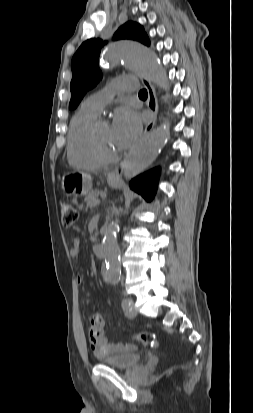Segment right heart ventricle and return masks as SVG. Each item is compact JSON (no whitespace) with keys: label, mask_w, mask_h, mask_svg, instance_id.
<instances>
[{"label":"right heart ventricle","mask_w":253,"mask_h":413,"mask_svg":"<svg viewBox=\"0 0 253 413\" xmlns=\"http://www.w3.org/2000/svg\"><path fill=\"white\" fill-rule=\"evenodd\" d=\"M98 114L83 106L73 116L67 139V158L71 165L96 169L102 166L101 162L92 152L89 143V132L92 124L97 120Z\"/></svg>","instance_id":"1"}]
</instances>
